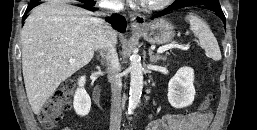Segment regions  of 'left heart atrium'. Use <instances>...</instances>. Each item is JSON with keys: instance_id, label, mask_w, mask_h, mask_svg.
<instances>
[{"instance_id": "obj_1", "label": "left heart atrium", "mask_w": 257, "mask_h": 130, "mask_svg": "<svg viewBox=\"0 0 257 130\" xmlns=\"http://www.w3.org/2000/svg\"><path fill=\"white\" fill-rule=\"evenodd\" d=\"M135 1L140 2V3L146 2V0H135Z\"/></svg>"}]
</instances>
